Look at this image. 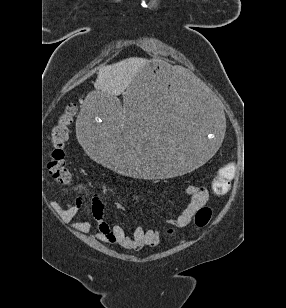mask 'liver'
Here are the masks:
<instances>
[{"label":"liver","instance_id":"1","mask_svg":"<svg viewBox=\"0 0 286 308\" xmlns=\"http://www.w3.org/2000/svg\"><path fill=\"white\" fill-rule=\"evenodd\" d=\"M146 63V59L131 57L112 65L102 66L99 68L94 86L101 94L117 99V96L124 93L139 69ZM124 114L127 115L125 111ZM121 119L124 123L125 115Z\"/></svg>","mask_w":286,"mask_h":308}]
</instances>
